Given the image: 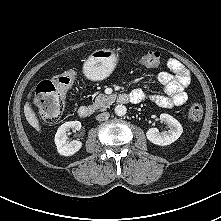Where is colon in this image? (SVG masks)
<instances>
[{"label":"colon","instance_id":"5ec220e1","mask_svg":"<svg viewBox=\"0 0 221 221\" xmlns=\"http://www.w3.org/2000/svg\"><path fill=\"white\" fill-rule=\"evenodd\" d=\"M161 56L158 51H148L140 58V63L147 68L160 65ZM75 81L73 71H65L51 80H45L36 88L35 105L44 122L52 123L60 119L66 101V94ZM203 108L198 102L192 103L188 108V118L199 121L202 118Z\"/></svg>","mask_w":221,"mask_h":221}]
</instances>
